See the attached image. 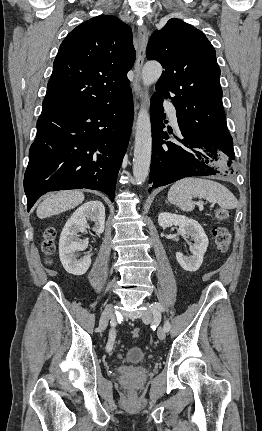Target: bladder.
Masks as SVG:
<instances>
[{"mask_svg":"<svg viewBox=\"0 0 262 431\" xmlns=\"http://www.w3.org/2000/svg\"><path fill=\"white\" fill-rule=\"evenodd\" d=\"M124 358L130 363H139L146 359L145 351L138 346H130L124 354Z\"/></svg>","mask_w":262,"mask_h":431,"instance_id":"1","label":"bladder"}]
</instances>
